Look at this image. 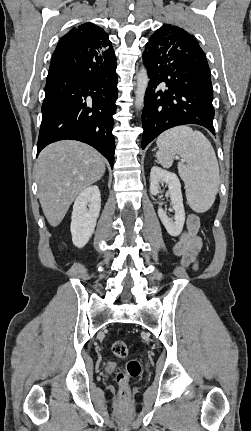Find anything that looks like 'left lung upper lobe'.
Returning a JSON list of instances; mask_svg holds the SVG:
<instances>
[{
    "label": "left lung upper lobe",
    "mask_w": 251,
    "mask_h": 431,
    "mask_svg": "<svg viewBox=\"0 0 251 431\" xmlns=\"http://www.w3.org/2000/svg\"><path fill=\"white\" fill-rule=\"evenodd\" d=\"M151 37L168 38L169 40H173L176 42H178V41L184 42L185 39H193L194 41H196L193 36H191L188 32H186L182 28H179L177 26H173L170 24L163 25Z\"/></svg>",
    "instance_id": "obj_1"
}]
</instances>
